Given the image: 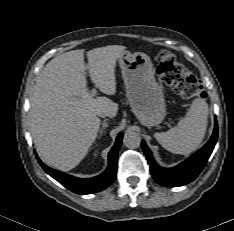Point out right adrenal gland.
Segmentation results:
<instances>
[{
    "instance_id": "right-adrenal-gland-1",
    "label": "right adrenal gland",
    "mask_w": 234,
    "mask_h": 231,
    "mask_svg": "<svg viewBox=\"0 0 234 231\" xmlns=\"http://www.w3.org/2000/svg\"><path fill=\"white\" fill-rule=\"evenodd\" d=\"M107 121H108V119H105V120L103 121L102 127H101L100 132H99V133H100L99 137L102 136V134L104 133V130L107 128V126H108Z\"/></svg>"
}]
</instances>
